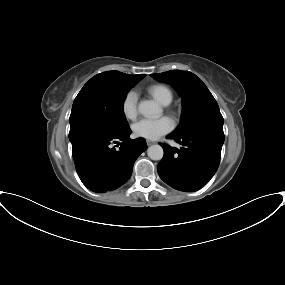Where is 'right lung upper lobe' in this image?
I'll list each match as a JSON object with an SVG mask.
<instances>
[{"label":"right lung upper lobe","instance_id":"obj_1","mask_svg":"<svg viewBox=\"0 0 285 285\" xmlns=\"http://www.w3.org/2000/svg\"><path fill=\"white\" fill-rule=\"evenodd\" d=\"M145 75H128L118 71H109L98 74L91 78L86 84L91 83H104V82H116V83H138Z\"/></svg>","mask_w":285,"mask_h":285}]
</instances>
